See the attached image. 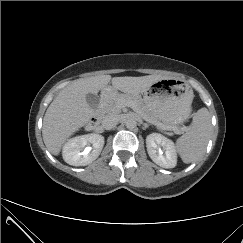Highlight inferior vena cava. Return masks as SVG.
Wrapping results in <instances>:
<instances>
[{
    "mask_svg": "<svg viewBox=\"0 0 243 243\" xmlns=\"http://www.w3.org/2000/svg\"><path fill=\"white\" fill-rule=\"evenodd\" d=\"M118 117L113 114L106 115L101 122L102 128L105 130H111L118 124Z\"/></svg>",
    "mask_w": 243,
    "mask_h": 243,
    "instance_id": "inferior-vena-cava-1",
    "label": "inferior vena cava"
}]
</instances>
